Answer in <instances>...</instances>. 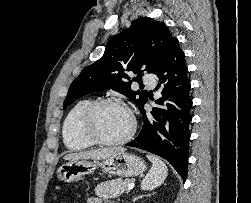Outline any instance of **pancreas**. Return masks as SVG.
<instances>
[{
    "label": "pancreas",
    "instance_id": "1",
    "mask_svg": "<svg viewBox=\"0 0 251 203\" xmlns=\"http://www.w3.org/2000/svg\"><path fill=\"white\" fill-rule=\"evenodd\" d=\"M132 180L126 179L124 181L120 180H109L100 183L95 188V194L103 199L108 198H118L123 194L124 191H127V186Z\"/></svg>",
    "mask_w": 251,
    "mask_h": 203
}]
</instances>
